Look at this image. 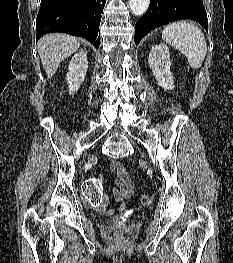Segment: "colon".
<instances>
[{"label":"colon","instance_id":"colon-1","mask_svg":"<svg viewBox=\"0 0 233 263\" xmlns=\"http://www.w3.org/2000/svg\"><path fill=\"white\" fill-rule=\"evenodd\" d=\"M96 176H105V171H96ZM85 190V199L87 201V208H98L100 200L102 198V179L98 178H86V182L83 183ZM140 202L143 206H148L152 202V197L148 193H144L140 197ZM120 234V228L116 229V235Z\"/></svg>","mask_w":233,"mask_h":263}]
</instances>
